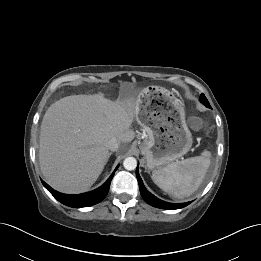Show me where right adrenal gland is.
<instances>
[{
  "instance_id": "2a0ac1e0",
  "label": "right adrenal gland",
  "mask_w": 261,
  "mask_h": 261,
  "mask_svg": "<svg viewBox=\"0 0 261 261\" xmlns=\"http://www.w3.org/2000/svg\"><path fill=\"white\" fill-rule=\"evenodd\" d=\"M111 155H112V152H110V153H109V156H108V158H109Z\"/></svg>"
}]
</instances>
